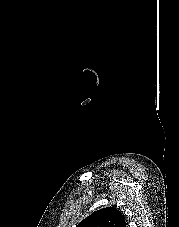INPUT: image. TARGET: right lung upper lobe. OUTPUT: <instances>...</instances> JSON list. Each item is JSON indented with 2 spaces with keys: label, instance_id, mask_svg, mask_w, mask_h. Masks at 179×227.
<instances>
[{
  "label": "right lung upper lobe",
  "instance_id": "cb5924a9",
  "mask_svg": "<svg viewBox=\"0 0 179 227\" xmlns=\"http://www.w3.org/2000/svg\"><path fill=\"white\" fill-rule=\"evenodd\" d=\"M77 227H126L122 214L114 207L95 211L82 220Z\"/></svg>",
  "mask_w": 179,
  "mask_h": 227
}]
</instances>
